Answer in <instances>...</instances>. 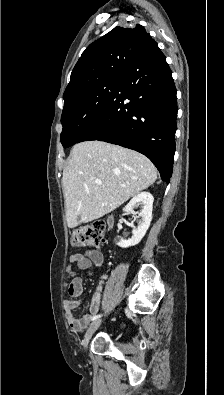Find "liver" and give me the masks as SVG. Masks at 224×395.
<instances>
[{
    "label": "liver",
    "instance_id": "liver-1",
    "mask_svg": "<svg viewBox=\"0 0 224 395\" xmlns=\"http://www.w3.org/2000/svg\"><path fill=\"white\" fill-rule=\"evenodd\" d=\"M156 179V167L136 151L102 141L76 144L62 177L68 227L112 212Z\"/></svg>",
    "mask_w": 224,
    "mask_h": 395
}]
</instances>
